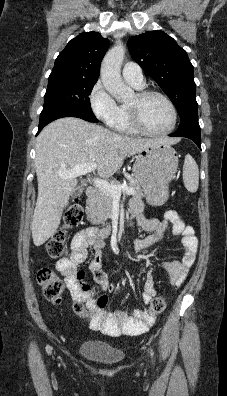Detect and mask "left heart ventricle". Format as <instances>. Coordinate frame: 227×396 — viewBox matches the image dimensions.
Here are the masks:
<instances>
[{"mask_svg":"<svg viewBox=\"0 0 227 396\" xmlns=\"http://www.w3.org/2000/svg\"><path fill=\"white\" fill-rule=\"evenodd\" d=\"M137 108L143 125L150 131L166 130L172 120L171 112L166 102L155 95L138 99L135 95L128 104Z\"/></svg>","mask_w":227,"mask_h":396,"instance_id":"b2bd125f","label":"left heart ventricle"}]
</instances>
